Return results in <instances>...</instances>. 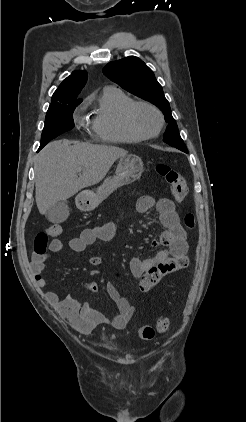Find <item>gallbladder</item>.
Wrapping results in <instances>:
<instances>
[{
    "label": "gallbladder",
    "instance_id": "gallbladder-1",
    "mask_svg": "<svg viewBox=\"0 0 246 422\" xmlns=\"http://www.w3.org/2000/svg\"><path fill=\"white\" fill-rule=\"evenodd\" d=\"M46 216L52 223L59 224L64 222L69 216V207L67 201L62 200L55 203L47 210Z\"/></svg>",
    "mask_w": 246,
    "mask_h": 422
}]
</instances>
